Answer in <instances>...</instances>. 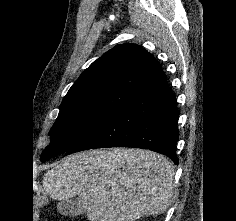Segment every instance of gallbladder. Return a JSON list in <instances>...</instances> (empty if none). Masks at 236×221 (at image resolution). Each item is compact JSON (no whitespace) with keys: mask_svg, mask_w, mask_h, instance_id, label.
Masks as SVG:
<instances>
[{"mask_svg":"<svg viewBox=\"0 0 236 221\" xmlns=\"http://www.w3.org/2000/svg\"><path fill=\"white\" fill-rule=\"evenodd\" d=\"M58 211L63 216H79L85 213L82 200L79 197L65 199L60 201L57 205Z\"/></svg>","mask_w":236,"mask_h":221,"instance_id":"gallbladder-1","label":"gallbladder"}]
</instances>
